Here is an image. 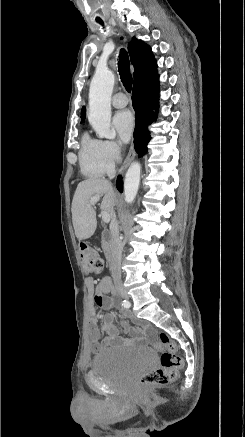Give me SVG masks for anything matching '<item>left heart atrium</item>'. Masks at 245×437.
Instances as JSON below:
<instances>
[{"label": "left heart atrium", "mask_w": 245, "mask_h": 437, "mask_svg": "<svg viewBox=\"0 0 245 437\" xmlns=\"http://www.w3.org/2000/svg\"><path fill=\"white\" fill-rule=\"evenodd\" d=\"M112 123L120 139L124 142H128L131 139L135 127L133 114L129 110L119 111L113 117Z\"/></svg>", "instance_id": "39dd6f15"}]
</instances>
